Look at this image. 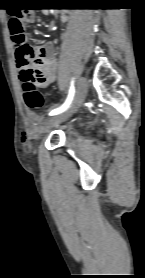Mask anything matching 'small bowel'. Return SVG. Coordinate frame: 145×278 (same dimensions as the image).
<instances>
[{
  "label": "small bowel",
  "instance_id": "1",
  "mask_svg": "<svg viewBox=\"0 0 145 278\" xmlns=\"http://www.w3.org/2000/svg\"><path fill=\"white\" fill-rule=\"evenodd\" d=\"M33 20V17H32ZM12 39V45L14 49V59L16 67L21 75L26 73L30 68L37 64L44 73V80L42 83L43 88L50 87L57 78V61L54 56V45L50 41L43 42L39 45L33 46L31 55L17 54L19 45Z\"/></svg>",
  "mask_w": 145,
  "mask_h": 278
}]
</instances>
